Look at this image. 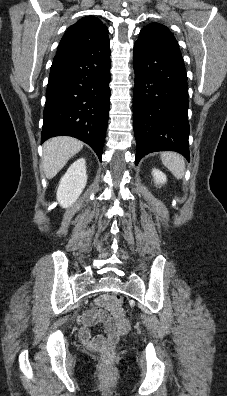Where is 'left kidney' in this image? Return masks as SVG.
<instances>
[{
    "instance_id": "obj_1",
    "label": "left kidney",
    "mask_w": 227,
    "mask_h": 396,
    "mask_svg": "<svg viewBox=\"0 0 227 396\" xmlns=\"http://www.w3.org/2000/svg\"><path fill=\"white\" fill-rule=\"evenodd\" d=\"M152 174H153L155 183L158 184V185L159 184H164L166 182V180H167L166 175L163 172H161L160 170L156 169V168H154L152 170Z\"/></svg>"
}]
</instances>
